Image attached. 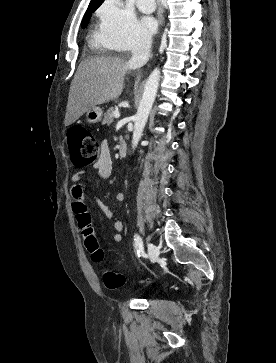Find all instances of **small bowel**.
I'll list each match as a JSON object with an SVG mask.
<instances>
[{
  "label": "small bowel",
  "mask_w": 276,
  "mask_h": 363,
  "mask_svg": "<svg viewBox=\"0 0 276 363\" xmlns=\"http://www.w3.org/2000/svg\"><path fill=\"white\" fill-rule=\"evenodd\" d=\"M93 167L98 171V174L101 178L108 179L113 174V161L111 156V151L108 143L103 141L101 143V151L98 160L94 163ZM85 170H81L73 174L72 182L73 186L70 189V196L73 201V210L78 216V221L80 223L79 217L86 214L89 218V225L86 228L80 227L82 231V236L85 240L89 233L95 235L94 227L90 221V215L88 213L87 203H86V190H87V183L85 180ZM115 200L119 203L125 201V195L123 193H117L115 196ZM101 211L104 215L112 219L114 218V213L111 209H109L106 205L99 206ZM113 227L117 234L114 236V240L116 242H120L121 232L124 229V224L120 219H115L113 223Z\"/></svg>",
  "instance_id": "c3829d8e"
}]
</instances>
